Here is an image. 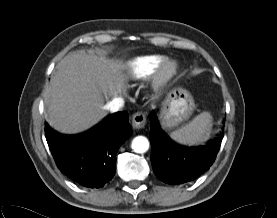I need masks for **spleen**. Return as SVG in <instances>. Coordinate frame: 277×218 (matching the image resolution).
<instances>
[{"instance_id":"spleen-1","label":"spleen","mask_w":277,"mask_h":218,"mask_svg":"<svg viewBox=\"0 0 277 218\" xmlns=\"http://www.w3.org/2000/svg\"><path fill=\"white\" fill-rule=\"evenodd\" d=\"M211 128L212 116L204 111L184 127L170 133V136L181 144L194 145L206 141L210 137Z\"/></svg>"}]
</instances>
